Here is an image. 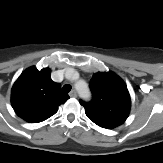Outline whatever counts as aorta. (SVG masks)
Wrapping results in <instances>:
<instances>
[{
	"mask_svg": "<svg viewBox=\"0 0 163 163\" xmlns=\"http://www.w3.org/2000/svg\"><path fill=\"white\" fill-rule=\"evenodd\" d=\"M75 88L79 93V96L85 100H89L91 98V92L88 84L84 80H77L75 82Z\"/></svg>",
	"mask_w": 163,
	"mask_h": 163,
	"instance_id": "obj_1",
	"label": "aorta"
}]
</instances>
